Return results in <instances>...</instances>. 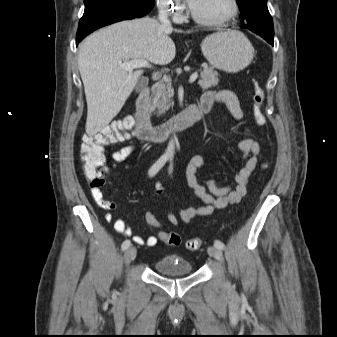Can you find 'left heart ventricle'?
Here are the masks:
<instances>
[{
	"instance_id": "b2bd125f",
	"label": "left heart ventricle",
	"mask_w": 337,
	"mask_h": 337,
	"mask_svg": "<svg viewBox=\"0 0 337 337\" xmlns=\"http://www.w3.org/2000/svg\"><path fill=\"white\" fill-rule=\"evenodd\" d=\"M196 14L208 19H220L230 9L229 0H197L192 6Z\"/></svg>"
}]
</instances>
